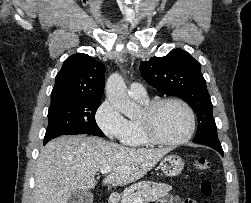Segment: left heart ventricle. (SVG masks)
I'll return each instance as SVG.
<instances>
[{"mask_svg":"<svg viewBox=\"0 0 251 203\" xmlns=\"http://www.w3.org/2000/svg\"><path fill=\"white\" fill-rule=\"evenodd\" d=\"M189 124L186 110L177 103L164 104L154 118L156 133L167 140H176L184 136L189 129Z\"/></svg>","mask_w":251,"mask_h":203,"instance_id":"b2bd125f","label":"left heart ventricle"}]
</instances>
